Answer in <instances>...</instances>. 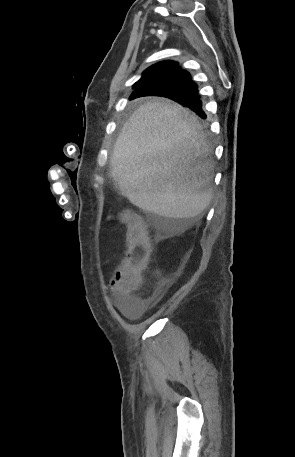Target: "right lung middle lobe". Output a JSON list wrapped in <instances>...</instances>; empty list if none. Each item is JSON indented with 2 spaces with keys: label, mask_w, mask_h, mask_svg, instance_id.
Wrapping results in <instances>:
<instances>
[{
  "label": "right lung middle lobe",
  "mask_w": 295,
  "mask_h": 457,
  "mask_svg": "<svg viewBox=\"0 0 295 457\" xmlns=\"http://www.w3.org/2000/svg\"><path fill=\"white\" fill-rule=\"evenodd\" d=\"M155 94L159 95V96L170 97V96L174 95V90L173 89L157 90L155 92Z\"/></svg>",
  "instance_id": "obj_1"
}]
</instances>
